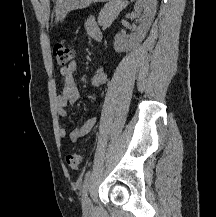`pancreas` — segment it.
I'll return each instance as SVG.
<instances>
[{
  "label": "pancreas",
  "instance_id": "obj_1",
  "mask_svg": "<svg viewBox=\"0 0 216 217\" xmlns=\"http://www.w3.org/2000/svg\"><path fill=\"white\" fill-rule=\"evenodd\" d=\"M124 8V0H112L100 11L98 24L102 29L108 28Z\"/></svg>",
  "mask_w": 216,
  "mask_h": 217
}]
</instances>
